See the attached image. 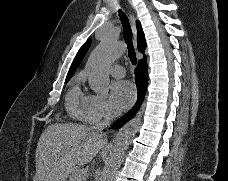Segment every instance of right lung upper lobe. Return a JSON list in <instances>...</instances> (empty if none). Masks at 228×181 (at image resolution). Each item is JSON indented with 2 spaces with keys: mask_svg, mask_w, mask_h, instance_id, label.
Segmentation results:
<instances>
[{
  "mask_svg": "<svg viewBox=\"0 0 228 181\" xmlns=\"http://www.w3.org/2000/svg\"><path fill=\"white\" fill-rule=\"evenodd\" d=\"M137 43H138V50L141 53H144L145 48H146V41H145V36H144L143 30H142L139 22H137ZM90 44H91V40L88 39L87 42L78 51L76 57L74 58V60L71 64V67H70L69 72L66 77V81L69 80L75 73L77 67L79 66V64L81 63L82 59L84 58L86 52L88 51Z\"/></svg>",
  "mask_w": 228,
  "mask_h": 181,
  "instance_id": "1",
  "label": "right lung upper lobe"
}]
</instances>
